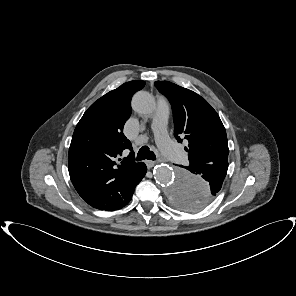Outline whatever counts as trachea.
<instances>
[{
    "instance_id": "1",
    "label": "trachea",
    "mask_w": 296,
    "mask_h": 296,
    "mask_svg": "<svg viewBox=\"0 0 296 296\" xmlns=\"http://www.w3.org/2000/svg\"><path fill=\"white\" fill-rule=\"evenodd\" d=\"M136 159H137V161H141V160H145V159L155 160L156 156L153 151H150L148 146H142L137 153Z\"/></svg>"
}]
</instances>
